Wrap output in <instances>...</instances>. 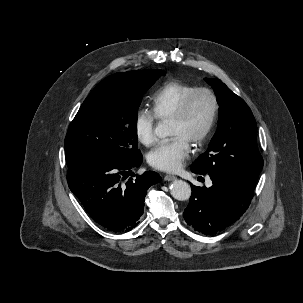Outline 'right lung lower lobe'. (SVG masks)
Returning <instances> with one entry per match:
<instances>
[{"mask_svg": "<svg viewBox=\"0 0 303 303\" xmlns=\"http://www.w3.org/2000/svg\"><path fill=\"white\" fill-rule=\"evenodd\" d=\"M142 160L85 154L67 164L69 188L95 222L113 232L130 231L139 224L148 188L160 182V176L151 171L122 182Z\"/></svg>", "mask_w": 303, "mask_h": 303, "instance_id": "98d812e1", "label": "right lung lower lobe"}]
</instances>
